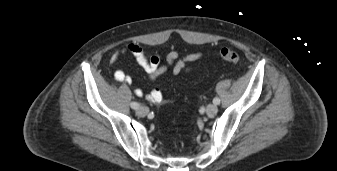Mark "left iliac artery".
Listing matches in <instances>:
<instances>
[{"label":"left iliac artery","instance_id":"1","mask_svg":"<svg viewBox=\"0 0 337 171\" xmlns=\"http://www.w3.org/2000/svg\"><path fill=\"white\" fill-rule=\"evenodd\" d=\"M213 103H214L215 105L220 104V99L217 98V97H215V98L213 99Z\"/></svg>","mask_w":337,"mask_h":171}]
</instances>
